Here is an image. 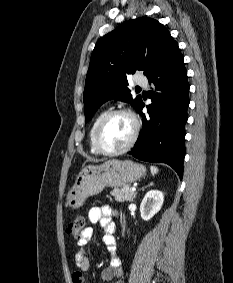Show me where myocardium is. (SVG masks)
Instances as JSON below:
<instances>
[{"label": "myocardium", "instance_id": "1", "mask_svg": "<svg viewBox=\"0 0 233 283\" xmlns=\"http://www.w3.org/2000/svg\"><path fill=\"white\" fill-rule=\"evenodd\" d=\"M119 114H125L127 116H129L131 118V120L133 121V125H134V130H133V134L130 138V140L128 141V143L123 146L122 148L118 149V150H114V151H109L103 148V146L101 145L100 142V137H101V133L102 130L104 128V126L106 125V123L115 115H119ZM140 130H141V122L139 120V118L137 117V115L129 108H116L113 110L108 111L104 117L101 119V121L98 123L95 133H94V145L95 148L97 149V151L102 154V155H106V156H116V155H120L123 154L125 152H127L128 150H130L134 144L136 143L139 134H140Z\"/></svg>", "mask_w": 233, "mask_h": 283}]
</instances>
